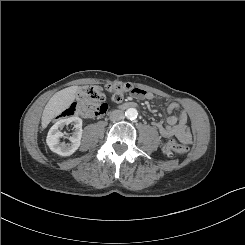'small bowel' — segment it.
<instances>
[{
	"mask_svg": "<svg viewBox=\"0 0 245 245\" xmlns=\"http://www.w3.org/2000/svg\"><path fill=\"white\" fill-rule=\"evenodd\" d=\"M136 99H152V94L144 90L139 89L138 93L133 94ZM180 105L177 102L171 103L167 107V122L161 124L154 122L153 126L158 130L160 135L164 138L177 137L183 142H189L191 140V133L187 125L188 116L185 111H181L178 116L173 115L174 110L179 109Z\"/></svg>",
	"mask_w": 245,
	"mask_h": 245,
	"instance_id": "c3829d8e",
	"label": "small bowel"
}]
</instances>
